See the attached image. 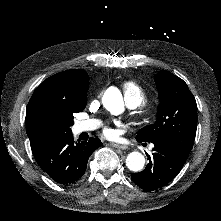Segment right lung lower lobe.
Listing matches in <instances>:
<instances>
[{"label":"right lung lower lobe","mask_w":221,"mask_h":221,"mask_svg":"<svg viewBox=\"0 0 221 221\" xmlns=\"http://www.w3.org/2000/svg\"><path fill=\"white\" fill-rule=\"evenodd\" d=\"M102 145L96 138L75 144L73 135L32 150L39 166L56 182L70 184L83 176L93 151Z\"/></svg>","instance_id":"1"}]
</instances>
